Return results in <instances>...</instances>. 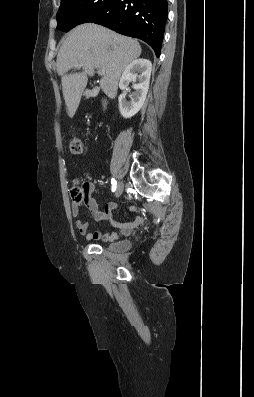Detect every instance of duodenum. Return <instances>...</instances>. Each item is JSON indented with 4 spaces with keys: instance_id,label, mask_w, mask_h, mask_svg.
<instances>
[{
    "instance_id": "1",
    "label": "duodenum",
    "mask_w": 254,
    "mask_h": 397,
    "mask_svg": "<svg viewBox=\"0 0 254 397\" xmlns=\"http://www.w3.org/2000/svg\"><path fill=\"white\" fill-rule=\"evenodd\" d=\"M98 94H99V89H98V88H93V89H90V90L88 91V95H89V96H97ZM102 106H103V109L106 108V106H107V101H106V99H103V100H102Z\"/></svg>"
}]
</instances>
